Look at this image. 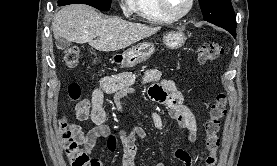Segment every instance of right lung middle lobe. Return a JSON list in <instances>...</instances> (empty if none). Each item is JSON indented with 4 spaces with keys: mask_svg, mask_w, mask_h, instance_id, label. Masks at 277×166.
<instances>
[{
    "mask_svg": "<svg viewBox=\"0 0 277 166\" xmlns=\"http://www.w3.org/2000/svg\"><path fill=\"white\" fill-rule=\"evenodd\" d=\"M74 3L87 4L102 11H108L111 6V0H59L58 5H68Z\"/></svg>",
    "mask_w": 277,
    "mask_h": 166,
    "instance_id": "dd1d6c3e",
    "label": "right lung middle lobe"
}]
</instances>
